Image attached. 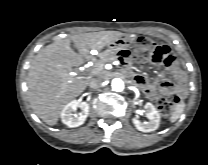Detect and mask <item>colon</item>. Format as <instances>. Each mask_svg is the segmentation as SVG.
<instances>
[{
  "label": "colon",
  "instance_id": "obj_1",
  "mask_svg": "<svg viewBox=\"0 0 208 165\" xmlns=\"http://www.w3.org/2000/svg\"><path fill=\"white\" fill-rule=\"evenodd\" d=\"M134 55L141 62L151 61L166 67H173L177 63L176 57L168 46L157 44L147 37L137 39ZM181 92L180 88L171 96L160 95L156 100L158 110L165 115L171 114L175 105L180 101Z\"/></svg>",
  "mask_w": 208,
  "mask_h": 165
}]
</instances>
